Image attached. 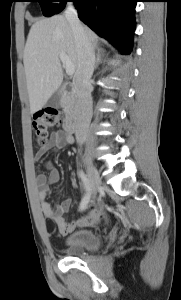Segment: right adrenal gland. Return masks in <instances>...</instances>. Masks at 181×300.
<instances>
[{"mask_svg": "<svg viewBox=\"0 0 181 300\" xmlns=\"http://www.w3.org/2000/svg\"><path fill=\"white\" fill-rule=\"evenodd\" d=\"M105 52L98 49L96 53V60H95V65L94 68L97 69L98 65L102 62V58L105 56Z\"/></svg>", "mask_w": 181, "mask_h": 300, "instance_id": "obj_1", "label": "right adrenal gland"}]
</instances>
